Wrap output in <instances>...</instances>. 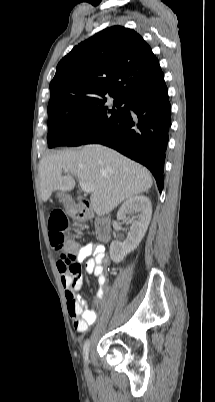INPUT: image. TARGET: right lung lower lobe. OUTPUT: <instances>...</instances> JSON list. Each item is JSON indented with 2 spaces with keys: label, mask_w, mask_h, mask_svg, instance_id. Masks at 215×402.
I'll list each match as a JSON object with an SVG mask.
<instances>
[{
  "label": "right lung lower lobe",
  "mask_w": 215,
  "mask_h": 402,
  "mask_svg": "<svg viewBox=\"0 0 215 402\" xmlns=\"http://www.w3.org/2000/svg\"><path fill=\"white\" fill-rule=\"evenodd\" d=\"M125 104L124 111L114 122L86 136L82 144H103L143 164L152 172L161 192L171 126L167 86L137 92L125 99Z\"/></svg>",
  "instance_id": "right-lung-lower-lobe-1"
}]
</instances>
